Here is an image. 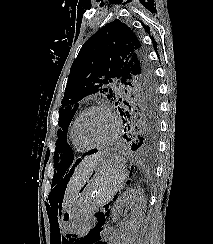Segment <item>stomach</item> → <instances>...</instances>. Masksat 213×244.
<instances>
[{
	"instance_id": "1",
	"label": "stomach",
	"mask_w": 213,
	"mask_h": 244,
	"mask_svg": "<svg viewBox=\"0 0 213 244\" xmlns=\"http://www.w3.org/2000/svg\"><path fill=\"white\" fill-rule=\"evenodd\" d=\"M118 154H124V149H104L93 174L63 211L62 231L76 233L88 228L95 209L110 202L124 186L128 172L125 160Z\"/></svg>"
}]
</instances>
